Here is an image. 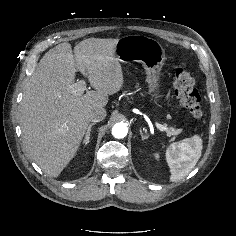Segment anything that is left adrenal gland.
Segmentation results:
<instances>
[{
	"label": "left adrenal gland",
	"instance_id": "a2214340",
	"mask_svg": "<svg viewBox=\"0 0 236 236\" xmlns=\"http://www.w3.org/2000/svg\"><path fill=\"white\" fill-rule=\"evenodd\" d=\"M140 135H141L142 140H145L148 137L147 135L143 133L141 128H140Z\"/></svg>",
	"mask_w": 236,
	"mask_h": 236
}]
</instances>
